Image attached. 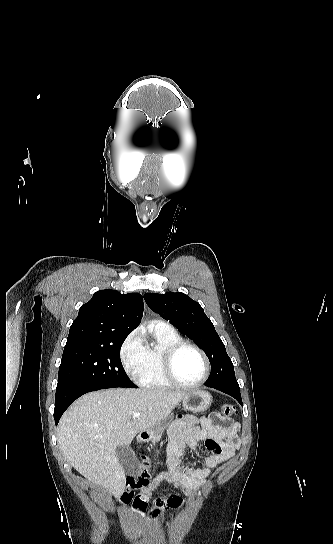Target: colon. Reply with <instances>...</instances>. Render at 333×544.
Instances as JSON below:
<instances>
[{
	"mask_svg": "<svg viewBox=\"0 0 333 544\" xmlns=\"http://www.w3.org/2000/svg\"><path fill=\"white\" fill-rule=\"evenodd\" d=\"M221 412L225 416H234L237 413V409L234 405L231 404H223L220 407ZM144 465L146 467L149 466V461L147 458L144 457ZM152 478V474L149 472V470H145L143 474L139 476H129L127 477L126 482V489L124 493L121 496V502L124 504H128L131 501H134L136 497H134V491L137 489L145 488L149 485Z\"/></svg>",
	"mask_w": 333,
	"mask_h": 544,
	"instance_id": "1",
	"label": "colon"
}]
</instances>
